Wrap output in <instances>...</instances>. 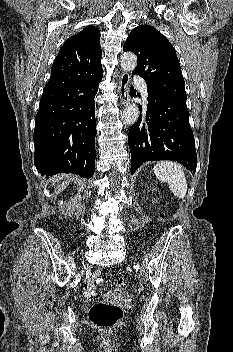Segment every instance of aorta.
<instances>
[{
	"instance_id": "1",
	"label": "aorta",
	"mask_w": 233,
	"mask_h": 352,
	"mask_svg": "<svg viewBox=\"0 0 233 352\" xmlns=\"http://www.w3.org/2000/svg\"><path fill=\"white\" fill-rule=\"evenodd\" d=\"M120 65L125 72H132L137 65L136 55L130 52L124 53L120 58ZM138 117L139 108L136 104H131L127 106L121 115V119L126 125L134 124L137 121Z\"/></svg>"
}]
</instances>
